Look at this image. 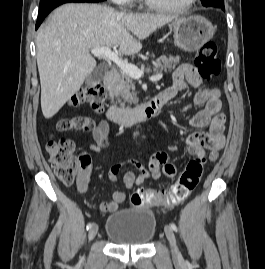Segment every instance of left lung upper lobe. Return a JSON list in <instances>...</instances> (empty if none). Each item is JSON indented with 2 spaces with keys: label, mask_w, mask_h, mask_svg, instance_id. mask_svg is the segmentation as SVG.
<instances>
[{
  "label": "left lung upper lobe",
  "mask_w": 265,
  "mask_h": 269,
  "mask_svg": "<svg viewBox=\"0 0 265 269\" xmlns=\"http://www.w3.org/2000/svg\"><path fill=\"white\" fill-rule=\"evenodd\" d=\"M204 6L224 7V0H202Z\"/></svg>",
  "instance_id": "left-lung-upper-lobe-1"
}]
</instances>
